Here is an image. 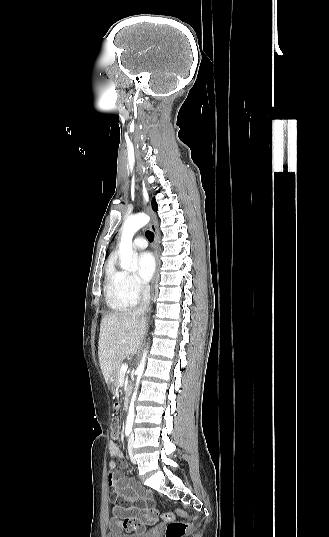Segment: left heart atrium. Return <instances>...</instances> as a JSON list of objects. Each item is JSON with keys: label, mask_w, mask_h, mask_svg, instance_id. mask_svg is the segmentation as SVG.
Returning a JSON list of instances; mask_svg holds the SVG:
<instances>
[{"label": "left heart atrium", "mask_w": 329, "mask_h": 537, "mask_svg": "<svg viewBox=\"0 0 329 537\" xmlns=\"http://www.w3.org/2000/svg\"><path fill=\"white\" fill-rule=\"evenodd\" d=\"M137 266L139 279L144 283L148 282L151 279L155 269L153 255L149 252L140 253L137 257Z\"/></svg>", "instance_id": "1"}]
</instances>
